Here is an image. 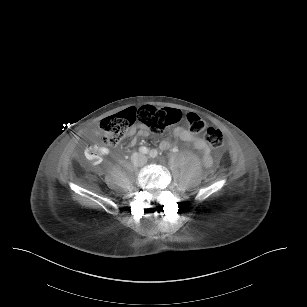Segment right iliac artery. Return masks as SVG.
Returning a JSON list of instances; mask_svg holds the SVG:
<instances>
[{"mask_svg":"<svg viewBox=\"0 0 307 307\" xmlns=\"http://www.w3.org/2000/svg\"><path fill=\"white\" fill-rule=\"evenodd\" d=\"M139 152H141L143 154H147V153H149V149L147 147L142 146V147L139 148Z\"/></svg>","mask_w":307,"mask_h":307,"instance_id":"82829eb1","label":"right iliac artery"}]
</instances>
